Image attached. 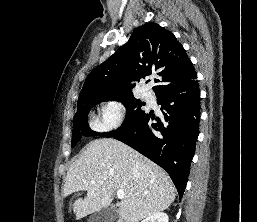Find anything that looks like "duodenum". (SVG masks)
I'll return each instance as SVG.
<instances>
[{"mask_svg":"<svg viewBox=\"0 0 257 222\" xmlns=\"http://www.w3.org/2000/svg\"><path fill=\"white\" fill-rule=\"evenodd\" d=\"M116 222H127L124 218H118Z\"/></svg>","mask_w":257,"mask_h":222,"instance_id":"obj_1","label":"duodenum"}]
</instances>
